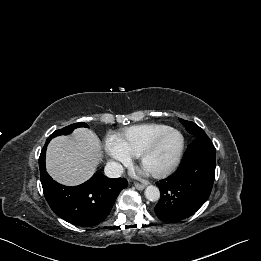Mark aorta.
Here are the masks:
<instances>
[{
    "instance_id": "1",
    "label": "aorta",
    "mask_w": 261,
    "mask_h": 261,
    "mask_svg": "<svg viewBox=\"0 0 261 261\" xmlns=\"http://www.w3.org/2000/svg\"><path fill=\"white\" fill-rule=\"evenodd\" d=\"M145 197L152 202L158 201L160 199L159 188L153 185L148 186L145 189Z\"/></svg>"
}]
</instances>
